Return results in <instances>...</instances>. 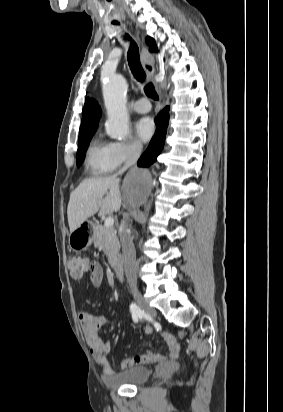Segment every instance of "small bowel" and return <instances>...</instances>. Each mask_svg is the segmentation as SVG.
I'll use <instances>...</instances> for the list:
<instances>
[{"instance_id":"1","label":"small bowel","mask_w":283,"mask_h":412,"mask_svg":"<svg viewBox=\"0 0 283 412\" xmlns=\"http://www.w3.org/2000/svg\"><path fill=\"white\" fill-rule=\"evenodd\" d=\"M89 273L91 285L95 288L99 287L103 281V270L100 264L95 262V269L90 271ZM77 317L86 337V341L93 355V358L102 368L104 375H108L109 373H111V367L107 361V353L110 349V344L100 337L99 331L109 322V319L105 315H94L84 310H79L77 312ZM151 332L152 327L147 325L144 328V333L150 334ZM162 336L168 347L165 354L148 351L145 354L137 355L135 357L127 358L121 361V368L126 369L134 365L176 359L179 355L178 343L176 342L174 337L167 332H163Z\"/></svg>"}]
</instances>
